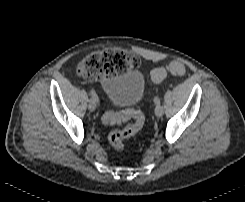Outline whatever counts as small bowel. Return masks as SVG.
<instances>
[{
  "mask_svg": "<svg viewBox=\"0 0 245 202\" xmlns=\"http://www.w3.org/2000/svg\"><path fill=\"white\" fill-rule=\"evenodd\" d=\"M136 64H138V60L136 59ZM155 69H152L149 71V75H148V80L150 83H153V84H158L160 81L159 80H156L153 76V72H154Z\"/></svg>",
  "mask_w": 245,
  "mask_h": 202,
  "instance_id": "small-bowel-1",
  "label": "small bowel"
}]
</instances>
